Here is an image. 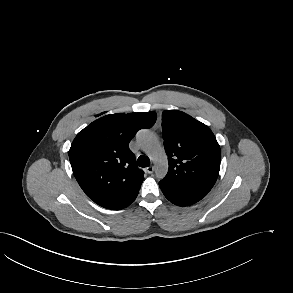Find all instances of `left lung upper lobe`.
Here are the masks:
<instances>
[{
  "label": "left lung upper lobe",
  "mask_w": 293,
  "mask_h": 293,
  "mask_svg": "<svg viewBox=\"0 0 293 293\" xmlns=\"http://www.w3.org/2000/svg\"><path fill=\"white\" fill-rule=\"evenodd\" d=\"M162 132L169 169L161 181L206 195L217 180L221 160L220 146L212 131L184 112L165 110Z\"/></svg>",
  "instance_id": "obj_1"
}]
</instances>
